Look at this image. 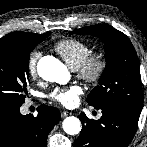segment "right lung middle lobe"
Wrapping results in <instances>:
<instances>
[{"label": "right lung middle lobe", "instance_id": "dd1d6c3e", "mask_svg": "<svg viewBox=\"0 0 147 147\" xmlns=\"http://www.w3.org/2000/svg\"><path fill=\"white\" fill-rule=\"evenodd\" d=\"M49 34L31 39L0 38V107H19L24 103L30 53Z\"/></svg>", "mask_w": 147, "mask_h": 147}]
</instances>
